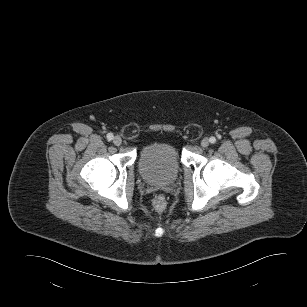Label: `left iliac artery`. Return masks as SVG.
Listing matches in <instances>:
<instances>
[{"mask_svg":"<svg viewBox=\"0 0 307 307\" xmlns=\"http://www.w3.org/2000/svg\"><path fill=\"white\" fill-rule=\"evenodd\" d=\"M209 141H210L212 144H214V143L216 142V138H215V137H211V138L209 139Z\"/></svg>","mask_w":307,"mask_h":307,"instance_id":"44dca946","label":"left iliac artery"}]
</instances>
